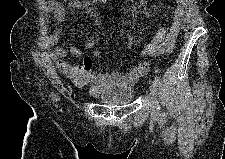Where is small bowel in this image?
<instances>
[{
	"label": "small bowel",
	"instance_id": "c3829d8e",
	"mask_svg": "<svg viewBox=\"0 0 225 159\" xmlns=\"http://www.w3.org/2000/svg\"><path fill=\"white\" fill-rule=\"evenodd\" d=\"M177 2L178 6L170 29L167 30L164 27H160L154 37L142 46L139 52L140 60L127 71L119 72L112 70V65L107 66L105 71L97 70L94 68L93 58L100 57L101 52L99 50L95 49L92 51V58L85 56L84 51L79 49L76 45L67 46L66 44H63L61 46H56L52 53L59 72L69 78L77 87L91 85L92 90L90 93L93 96H97L105 87L110 85L135 84L149 70L148 62L145 59L146 57L158 56L173 51L179 33L180 23L186 9L185 1L178 0ZM44 9L53 16L54 20L59 25L63 24L65 21L67 10L74 13L85 12L93 19L97 26L100 23L97 11L90 2L71 0L64 6L57 1H46L44 3ZM61 35V27L56 28L51 33H45L44 40L46 45L51 47L55 46L59 42ZM94 44V37L91 36L86 43V49H92ZM127 44L129 47L133 46L132 33H129L128 35ZM68 54L73 57L82 58L81 63L73 64L65 61L64 58Z\"/></svg>",
	"mask_w": 225,
	"mask_h": 159
}]
</instances>
